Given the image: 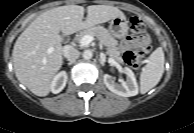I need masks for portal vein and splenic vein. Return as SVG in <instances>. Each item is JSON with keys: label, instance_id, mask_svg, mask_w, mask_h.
<instances>
[{"label": "portal vein and splenic vein", "instance_id": "18ae733b", "mask_svg": "<svg viewBox=\"0 0 194 133\" xmlns=\"http://www.w3.org/2000/svg\"><path fill=\"white\" fill-rule=\"evenodd\" d=\"M94 40V38H93V36H91V35H85V36H83L82 38H81V44L83 45V46H86V45H88V44H90L92 41ZM53 52V48H49L48 50H47V53H52Z\"/></svg>", "mask_w": 194, "mask_h": 133}]
</instances>
